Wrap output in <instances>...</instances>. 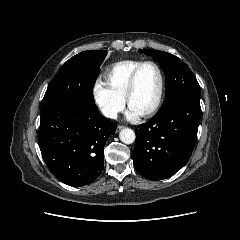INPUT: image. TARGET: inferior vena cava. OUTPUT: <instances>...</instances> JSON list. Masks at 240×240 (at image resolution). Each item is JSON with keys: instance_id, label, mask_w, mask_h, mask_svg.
<instances>
[{"instance_id": "obj_1", "label": "inferior vena cava", "mask_w": 240, "mask_h": 240, "mask_svg": "<svg viewBox=\"0 0 240 240\" xmlns=\"http://www.w3.org/2000/svg\"><path fill=\"white\" fill-rule=\"evenodd\" d=\"M102 113L104 114V116L111 118V119H116L117 118V109L112 108V107H104L102 109Z\"/></svg>"}]
</instances>
